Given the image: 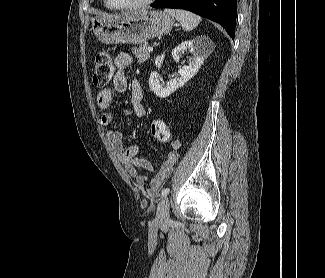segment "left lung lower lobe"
<instances>
[{
  "mask_svg": "<svg viewBox=\"0 0 325 278\" xmlns=\"http://www.w3.org/2000/svg\"><path fill=\"white\" fill-rule=\"evenodd\" d=\"M151 6L189 10L219 23L232 38L235 37L236 0H156Z\"/></svg>",
  "mask_w": 325,
  "mask_h": 278,
  "instance_id": "left-lung-lower-lobe-1",
  "label": "left lung lower lobe"
}]
</instances>
